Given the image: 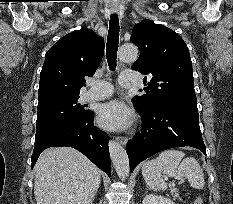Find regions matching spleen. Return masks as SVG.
Returning <instances> with one entry per match:
<instances>
[{
    "label": "spleen",
    "mask_w": 233,
    "mask_h": 204,
    "mask_svg": "<svg viewBox=\"0 0 233 204\" xmlns=\"http://www.w3.org/2000/svg\"><path fill=\"white\" fill-rule=\"evenodd\" d=\"M162 174L178 180L186 178L195 189H202L205 185L200 164L193 157L185 158V153L180 150L163 151L156 159L148 160L142 166L146 184L155 191H164L168 187Z\"/></svg>",
    "instance_id": "obj_1"
}]
</instances>
